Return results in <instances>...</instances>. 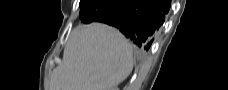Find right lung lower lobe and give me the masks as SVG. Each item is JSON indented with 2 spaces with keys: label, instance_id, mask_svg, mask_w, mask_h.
Returning a JSON list of instances; mask_svg holds the SVG:
<instances>
[{
  "label": "right lung lower lobe",
  "instance_id": "obj_1",
  "mask_svg": "<svg viewBox=\"0 0 228 90\" xmlns=\"http://www.w3.org/2000/svg\"><path fill=\"white\" fill-rule=\"evenodd\" d=\"M170 6L171 0H97L83 8L80 19L118 28L143 54L150 49Z\"/></svg>",
  "mask_w": 228,
  "mask_h": 90
}]
</instances>
